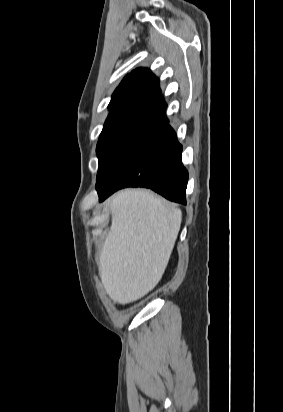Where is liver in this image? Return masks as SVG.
I'll return each instance as SVG.
<instances>
[{
    "mask_svg": "<svg viewBox=\"0 0 283 412\" xmlns=\"http://www.w3.org/2000/svg\"><path fill=\"white\" fill-rule=\"evenodd\" d=\"M111 227L99 272L109 297L136 301L161 280L182 221L179 208L144 189H126L110 201Z\"/></svg>",
    "mask_w": 283,
    "mask_h": 412,
    "instance_id": "liver-1",
    "label": "liver"
}]
</instances>
